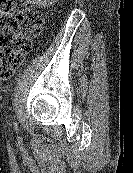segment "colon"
<instances>
[{"mask_svg": "<svg viewBox=\"0 0 133 173\" xmlns=\"http://www.w3.org/2000/svg\"><path fill=\"white\" fill-rule=\"evenodd\" d=\"M24 0H0V78H10L42 29L41 14L21 8Z\"/></svg>", "mask_w": 133, "mask_h": 173, "instance_id": "colon-1", "label": "colon"}]
</instances>
